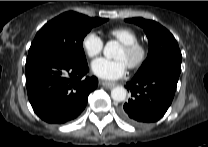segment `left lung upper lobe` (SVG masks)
Returning <instances> with one entry per match:
<instances>
[{"instance_id":"left-lung-upper-lobe-1","label":"left lung upper lobe","mask_w":208,"mask_h":147,"mask_svg":"<svg viewBox=\"0 0 208 147\" xmlns=\"http://www.w3.org/2000/svg\"><path fill=\"white\" fill-rule=\"evenodd\" d=\"M126 21L141 26L149 40L148 57L135 76L161 68L180 74L182 55L177 41L166 28L153 20L143 18H129Z\"/></svg>"}]
</instances>
